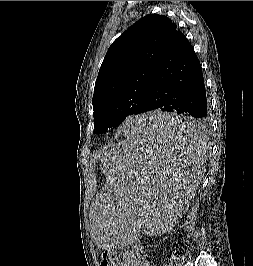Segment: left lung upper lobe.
<instances>
[{"label": "left lung upper lobe", "mask_w": 253, "mask_h": 266, "mask_svg": "<svg viewBox=\"0 0 253 266\" xmlns=\"http://www.w3.org/2000/svg\"><path fill=\"white\" fill-rule=\"evenodd\" d=\"M176 29L166 16L149 14L109 47L92 99L94 127L99 134L128 116L144 113L158 60Z\"/></svg>", "instance_id": "left-lung-upper-lobe-1"}]
</instances>
